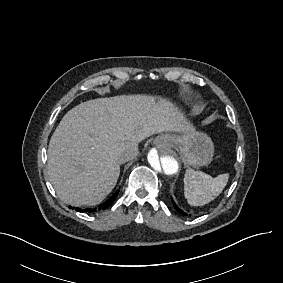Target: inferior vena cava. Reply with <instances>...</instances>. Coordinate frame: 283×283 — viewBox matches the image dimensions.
Returning <instances> with one entry per match:
<instances>
[{"label": "inferior vena cava", "instance_id": "obj_1", "mask_svg": "<svg viewBox=\"0 0 283 283\" xmlns=\"http://www.w3.org/2000/svg\"><path fill=\"white\" fill-rule=\"evenodd\" d=\"M137 147L129 144L122 151H120L116 156V161L119 164H124L128 161L133 160L138 155Z\"/></svg>", "mask_w": 283, "mask_h": 283}]
</instances>
